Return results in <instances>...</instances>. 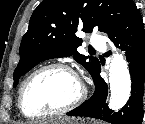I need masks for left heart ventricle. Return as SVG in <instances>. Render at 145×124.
I'll use <instances>...</instances> for the list:
<instances>
[{
    "mask_svg": "<svg viewBox=\"0 0 145 124\" xmlns=\"http://www.w3.org/2000/svg\"><path fill=\"white\" fill-rule=\"evenodd\" d=\"M80 83L70 73L52 69L39 74L28 87L24 107L29 114L58 110L75 100Z\"/></svg>",
    "mask_w": 145,
    "mask_h": 124,
    "instance_id": "left-heart-ventricle-1",
    "label": "left heart ventricle"
}]
</instances>
